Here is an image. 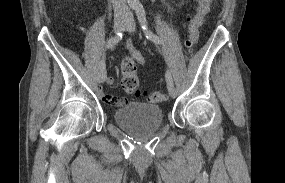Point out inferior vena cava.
Here are the masks:
<instances>
[{"label":"inferior vena cava","instance_id":"1","mask_svg":"<svg viewBox=\"0 0 285 183\" xmlns=\"http://www.w3.org/2000/svg\"><path fill=\"white\" fill-rule=\"evenodd\" d=\"M115 17H127L130 15L126 0H112Z\"/></svg>","mask_w":285,"mask_h":183}]
</instances>
